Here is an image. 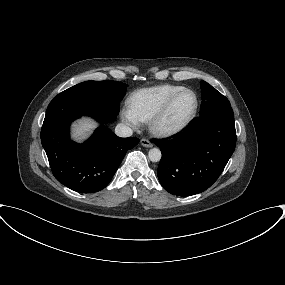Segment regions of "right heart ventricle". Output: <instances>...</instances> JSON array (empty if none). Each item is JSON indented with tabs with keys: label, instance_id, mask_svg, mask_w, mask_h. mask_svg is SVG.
<instances>
[{
	"label": "right heart ventricle",
	"instance_id": "right-heart-ventricle-1",
	"mask_svg": "<svg viewBox=\"0 0 285 285\" xmlns=\"http://www.w3.org/2000/svg\"><path fill=\"white\" fill-rule=\"evenodd\" d=\"M182 89L184 87L170 84L139 89L129 97V106L140 121L146 122L172 95Z\"/></svg>",
	"mask_w": 285,
	"mask_h": 285
}]
</instances>
